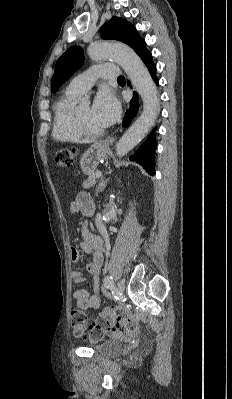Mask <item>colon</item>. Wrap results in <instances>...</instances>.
I'll list each match as a JSON object with an SVG mask.
<instances>
[{"label": "colon", "mask_w": 232, "mask_h": 399, "mask_svg": "<svg viewBox=\"0 0 232 399\" xmlns=\"http://www.w3.org/2000/svg\"><path fill=\"white\" fill-rule=\"evenodd\" d=\"M66 165L72 169L75 165L73 160V148L61 150L56 153V166ZM109 324H125V330L129 331L130 337H135L141 323L137 321L135 313H130L129 308H116L115 313H101L99 322H87L86 312L75 308L71 315V337L85 339L89 335L92 341H101L100 335H115V328H110Z\"/></svg>", "instance_id": "obj_1"}]
</instances>
